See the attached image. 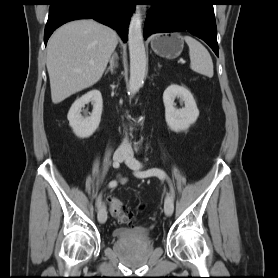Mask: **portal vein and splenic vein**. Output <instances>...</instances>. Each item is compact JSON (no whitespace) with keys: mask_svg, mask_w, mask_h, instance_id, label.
<instances>
[{"mask_svg":"<svg viewBox=\"0 0 278 278\" xmlns=\"http://www.w3.org/2000/svg\"><path fill=\"white\" fill-rule=\"evenodd\" d=\"M181 62H182V63H185V60L181 59Z\"/></svg>","mask_w":278,"mask_h":278,"instance_id":"18ae733b","label":"portal vein and splenic vein"}]
</instances>
